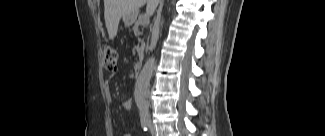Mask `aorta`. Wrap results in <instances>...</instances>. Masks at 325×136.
<instances>
[{
	"label": "aorta",
	"instance_id": "1",
	"mask_svg": "<svg viewBox=\"0 0 325 136\" xmlns=\"http://www.w3.org/2000/svg\"><path fill=\"white\" fill-rule=\"evenodd\" d=\"M163 23H164L163 17L158 16L154 25L153 40L157 39L159 35H161ZM155 63H156L155 57L153 56L150 57L145 63L135 83V89H134L135 103L138 109L142 112L148 110L147 91H148L150 79L155 69Z\"/></svg>",
	"mask_w": 325,
	"mask_h": 136
}]
</instances>
